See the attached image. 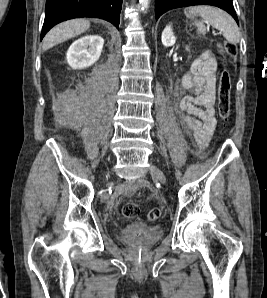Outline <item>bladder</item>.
<instances>
[{
	"instance_id": "obj_1",
	"label": "bladder",
	"mask_w": 267,
	"mask_h": 298,
	"mask_svg": "<svg viewBox=\"0 0 267 298\" xmlns=\"http://www.w3.org/2000/svg\"><path fill=\"white\" fill-rule=\"evenodd\" d=\"M161 235L162 231L157 227H142L137 229L134 226H128L122 230L121 239L128 244L150 247L161 238Z\"/></svg>"
}]
</instances>
